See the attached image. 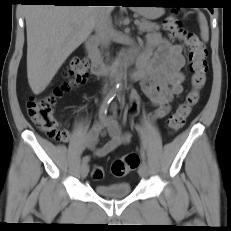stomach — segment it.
<instances>
[{
    "mask_svg": "<svg viewBox=\"0 0 231 231\" xmlns=\"http://www.w3.org/2000/svg\"><path fill=\"white\" fill-rule=\"evenodd\" d=\"M135 10L146 19H155L163 13L161 7H135Z\"/></svg>",
    "mask_w": 231,
    "mask_h": 231,
    "instance_id": "1",
    "label": "stomach"
}]
</instances>
